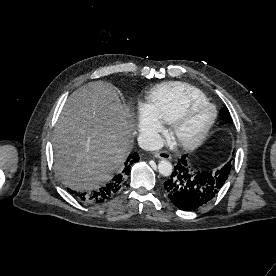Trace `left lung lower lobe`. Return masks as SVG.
I'll return each mask as SVG.
<instances>
[{
	"label": "left lung lower lobe",
	"instance_id": "0a47b994",
	"mask_svg": "<svg viewBox=\"0 0 276 276\" xmlns=\"http://www.w3.org/2000/svg\"><path fill=\"white\" fill-rule=\"evenodd\" d=\"M228 167L214 172L191 168L187 155L178 160L173 173L164 183V192L182 210H194L210 202L224 185Z\"/></svg>",
	"mask_w": 276,
	"mask_h": 276
}]
</instances>
